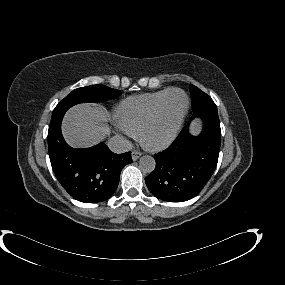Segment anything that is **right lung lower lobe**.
<instances>
[{
    "instance_id": "98d812e1",
    "label": "right lung lower lobe",
    "mask_w": 285,
    "mask_h": 285,
    "mask_svg": "<svg viewBox=\"0 0 285 285\" xmlns=\"http://www.w3.org/2000/svg\"><path fill=\"white\" fill-rule=\"evenodd\" d=\"M64 114L53 116L49 125L52 169L74 199L84 203L105 201L117 189L122 168L132 162L131 152L115 154L104 143L86 149L71 148L61 134Z\"/></svg>"
}]
</instances>
